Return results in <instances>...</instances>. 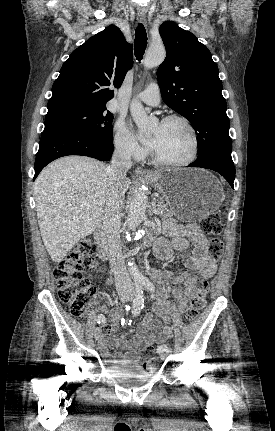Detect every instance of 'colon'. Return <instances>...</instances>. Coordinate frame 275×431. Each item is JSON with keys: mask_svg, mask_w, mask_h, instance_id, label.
Segmentation results:
<instances>
[{"mask_svg": "<svg viewBox=\"0 0 275 431\" xmlns=\"http://www.w3.org/2000/svg\"><path fill=\"white\" fill-rule=\"evenodd\" d=\"M200 229L203 233L211 235L208 254L215 260L219 259L224 251V243L220 237L222 223L219 216L208 214L203 217L200 221ZM95 253L94 243L88 238L82 239L53 271L58 297L68 305L70 312L76 317H84L87 314L88 305L96 294V288L83 277L85 269L96 266ZM208 288L206 277L198 280L197 289L191 296L185 313L188 321H194L204 308ZM152 353L153 348L145 349V366L152 367L157 364V359Z\"/></svg>", "mask_w": 275, "mask_h": 431, "instance_id": "colon-1", "label": "colon"}]
</instances>
